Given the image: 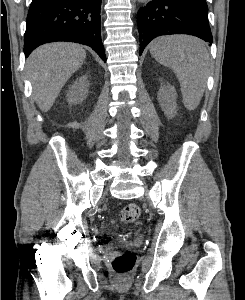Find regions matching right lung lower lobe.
Returning a JSON list of instances; mask_svg holds the SVG:
<instances>
[{"label":"right lung lower lobe","instance_id":"right-lung-lower-lobe-1","mask_svg":"<svg viewBox=\"0 0 245 300\" xmlns=\"http://www.w3.org/2000/svg\"><path fill=\"white\" fill-rule=\"evenodd\" d=\"M101 0H32L27 16L24 53L55 41L92 47L106 61L100 35Z\"/></svg>","mask_w":245,"mask_h":300}]
</instances>
